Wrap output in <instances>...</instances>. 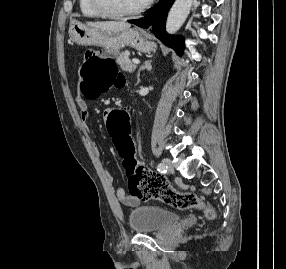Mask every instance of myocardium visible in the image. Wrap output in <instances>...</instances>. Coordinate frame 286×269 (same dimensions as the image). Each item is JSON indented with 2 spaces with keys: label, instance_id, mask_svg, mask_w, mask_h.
I'll return each mask as SVG.
<instances>
[{
  "label": "myocardium",
  "instance_id": "1",
  "mask_svg": "<svg viewBox=\"0 0 286 269\" xmlns=\"http://www.w3.org/2000/svg\"><path fill=\"white\" fill-rule=\"evenodd\" d=\"M94 9L99 13L100 16L110 19H128L136 17L143 13L152 3V0H147L143 5L137 9L124 13H117L109 10L103 3V0H91Z\"/></svg>",
  "mask_w": 286,
  "mask_h": 269
}]
</instances>
